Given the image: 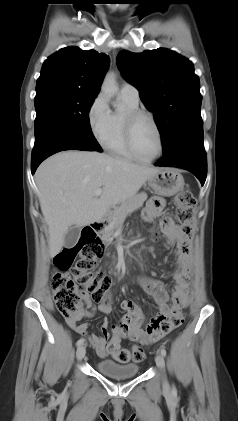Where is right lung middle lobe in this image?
<instances>
[{
    "instance_id": "dd1d6c3e",
    "label": "right lung middle lobe",
    "mask_w": 238,
    "mask_h": 421,
    "mask_svg": "<svg viewBox=\"0 0 238 421\" xmlns=\"http://www.w3.org/2000/svg\"><path fill=\"white\" fill-rule=\"evenodd\" d=\"M97 94L59 87L36 89L35 137L47 125H57L102 151L92 134L89 110Z\"/></svg>"
}]
</instances>
